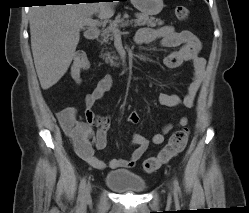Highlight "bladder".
Listing matches in <instances>:
<instances>
[{"label": "bladder", "mask_w": 249, "mask_h": 213, "mask_svg": "<svg viewBox=\"0 0 249 213\" xmlns=\"http://www.w3.org/2000/svg\"><path fill=\"white\" fill-rule=\"evenodd\" d=\"M105 185L120 192L141 193L148 185L143 177L129 170H114L109 172L104 179Z\"/></svg>", "instance_id": "obj_1"}]
</instances>
